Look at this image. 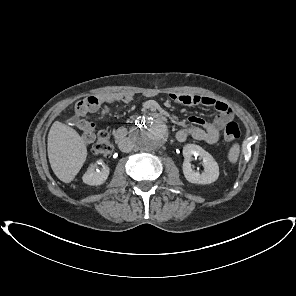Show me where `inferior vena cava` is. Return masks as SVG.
<instances>
[{
	"instance_id": "inferior-vena-cava-1",
	"label": "inferior vena cava",
	"mask_w": 296,
	"mask_h": 296,
	"mask_svg": "<svg viewBox=\"0 0 296 296\" xmlns=\"http://www.w3.org/2000/svg\"><path fill=\"white\" fill-rule=\"evenodd\" d=\"M119 148L121 149V151L123 152H129L132 149V143L130 140L126 139L123 140L119 143Z\"/></svg>"
}]
</instances>
